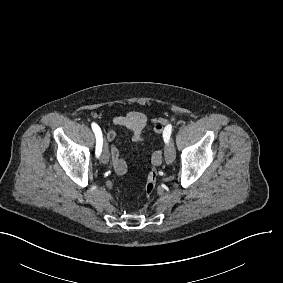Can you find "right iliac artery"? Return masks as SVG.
<instances>
[{
    "instance_id": "right-iliac-artery-1",
    "label": "right iliac artery",
    "mask_w": 283,
    "mask_h": 283,
    "mask_svg": "<svg viewBox=\"0 0 283 283\" xmlns=\"http://www.w3.org/2000/svg\"><path fill=\"white\" fill-rule=\"evenodd\" d=\"M92 130L95 133L96 136V150L95 154L97 157H99L101 151H102V144H103V138H102V132L100 127L96 123H92Z\"/></svg>"
}]
</instances>
